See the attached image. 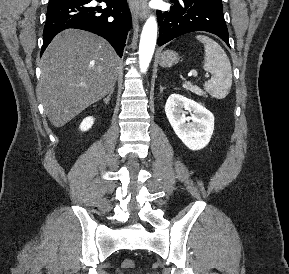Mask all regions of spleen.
<instances>
[{"label":"spleen","mask_w":289,"mask_h":274,"mask_svg":"<svg viewBox=\"0 0 289 274\" xmlns=\"http://www.w3.org/2000/svg\"><path fill=\"white\" fill-rule=\"evenodd\" d=\"M196 38L204 44V70L213 74V77L205 82L204 88L212 97L223 99L232 85L230 61L216 41L204 35H198Z\"/></svg>","instance_id":"1"}]
</instances>
